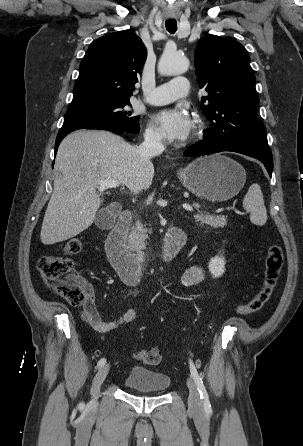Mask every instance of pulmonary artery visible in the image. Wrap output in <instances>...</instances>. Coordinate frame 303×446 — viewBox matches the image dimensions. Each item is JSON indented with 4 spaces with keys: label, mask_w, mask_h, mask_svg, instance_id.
<instances>
[{
    "label": "pulmonary artery",
    "mask_w": 303,
    "mask_h": 446,
    "mask_svg": "<svg viewBox=\"0 0 303 446\" xmlns=\"http://www.w3.org/2000/svg\"><path fill=\"white\" fill-rule=\"evenodd\" d=\"M189 83L185 77H175L155 88L146 98L152 105H163L183 98L188 94Z\"/></svg>",
    "instance_id": "pulmonary-artery-1"
}]
</instances>
